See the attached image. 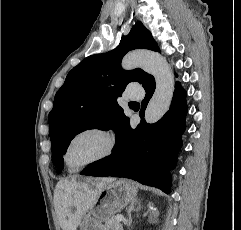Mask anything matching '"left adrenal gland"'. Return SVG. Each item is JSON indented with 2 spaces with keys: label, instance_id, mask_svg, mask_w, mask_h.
<instances>
[{
  "label": "left adrenal gland",
  "instance_id": "obj_1",
  "mask_svg": "<svg viewBox=\"0 0 241 230\" xmlns=\"http://www.w3.org/2000/svg\"><path fill=\"white\" fill-rule=\"evenodd\" d=\"M136 203H137V199H135V200L131 203V205H130L128 211H127V213H128V219L126 220V224H127L128 226L131 225V223H132L131 212H132L133 210L138 211V210L140 209V206H138L137 208H135L134 205H135Z\"/></svg>",
  "mask_w": 241,
  "mask_h": 230
}]
</instances>
